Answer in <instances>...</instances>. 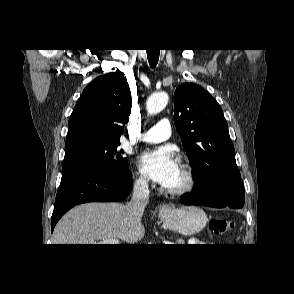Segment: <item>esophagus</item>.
<instances>
[{
    "label": "esophagus",
    "mask_w": 294,
    "mask_h": 294,
    "mask_svg": "<svg viewBox=\"0 0 294 294\" xmlns=\"http://www.w3.org/2000/svg\"><path fill=\"white\" fill-rule=\"evenodd\" d=\"M172 210H173V207L168 204H163L160 207V212L164 214L170 213Z\"/></svg>",
    "instance_id": "obj_1"
}]
</instances>
